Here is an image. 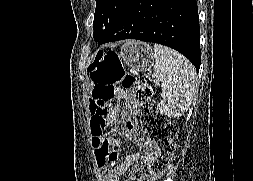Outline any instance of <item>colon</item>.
Masks as SVG:
<instances>
[{"mask_svg": "<svg viewBox=\"0 0 253 181\" xmlns=\"http://www.w3.org/2000/svg\"><path fill=\"white\" fill-rule=\"evenodd\" d=\"M93 84L91 104L93 116L104 120L108 103L121 87L132 90L134 108L132 114L139 120L140 128L157 149V155L148 165L151 181L168 170L175 150L176 127L158 111L150 89L131 74H125L116 53L96 50L95 61L89 67Z\"/></svg>", "mask_w": 253, "mask_h": 181, "instance_id": "colon-1", "label": "colon"}]
</instances>
